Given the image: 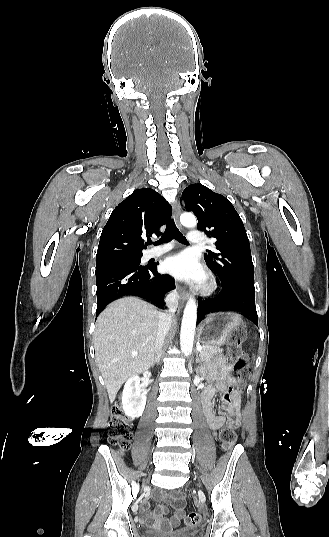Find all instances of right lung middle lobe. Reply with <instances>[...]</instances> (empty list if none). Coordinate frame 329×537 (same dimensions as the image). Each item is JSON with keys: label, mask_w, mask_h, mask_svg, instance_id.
Segmentation results:
<instances>
[{"label": "right lung middle lobe", "mask_w": 329, "mask_h": 537, "mask_svg": "<svg viewBox=\"0 0 329 537\" xmlns=\"http://www.w3.org/2000/svg\"><path fill=\"white\" fill-rule=\"evenodd\" d=\"M141 257L131 258V259H123L118 261H113L114 263H135L140 265Z\"/></svg>", "instance_id": "dd1d6c3e"}]
</instances>
